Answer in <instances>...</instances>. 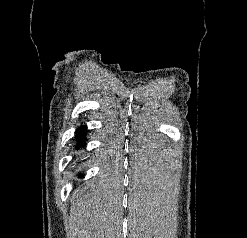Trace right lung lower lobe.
<instances>
[{"mask_svg": "<svg viewBox=\"0 0 247 238\" xmlns=\"http://www.w3.org/2000/svg\"><path fill=\"white\" fill-rule=\"evenodd\" d=\"M85 133H86L85 130H81V132H77L76 144H75L76 149H80L81 147L85 146V137H83Z\"/></svg>", "mask_w": 247, "mask_h": 238, "instance_id": "right-lung-lower-lobe-1", "label": "right lung lower lobe"}]
</instances>
